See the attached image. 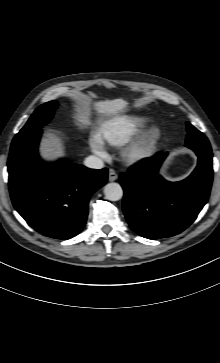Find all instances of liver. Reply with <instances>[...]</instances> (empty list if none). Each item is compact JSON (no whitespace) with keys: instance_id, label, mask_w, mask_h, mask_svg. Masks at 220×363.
I'll return each instance as SVG.
<instances>
[{"instance_id":"obj_1","label":"liver","mask_w":220,"mask_h":363,"mask_svg":"<svg viewBox=\"0 0 220 363\" xmlns=\"http://www.w3.org/2000/svg\"><path fill=\"white\" fill-rule=\"evenodd\" d=\"M94 106L98 112L107 116H112L123 112L127 108L128 102L123 99H114L95 102ZM57 145L58 140L54 137H49V139L44 140L41 146L42 156L45 159H54Z\"/></svg>"}]
</instances>
